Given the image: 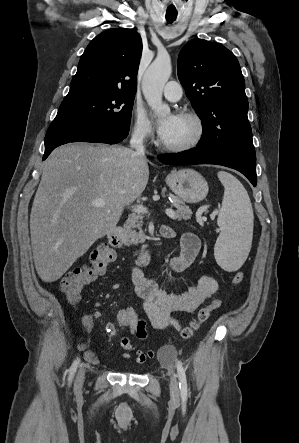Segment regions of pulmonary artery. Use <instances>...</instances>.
<instances>
[{
    "label": "pulmonary artery",
    "mask_w": 299,
    "mask_h": 443,
    "mask_svg": "<svg viewBox=\"0 0 299 443\" xmlns=\"http://www.w3.org/2000/svg\"><path fill=\"white\" fill-rule=\"evenodd\" d=\"M163 95L169 101H178L182 97V87L176 81H169L163 89Z\"/></svg>",
    "instance_id": "e3ab8cb5"
}]
</instances>
